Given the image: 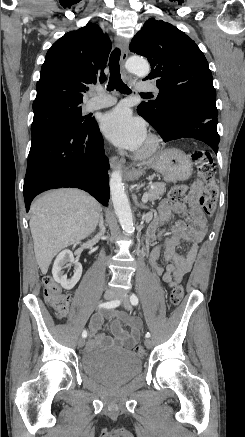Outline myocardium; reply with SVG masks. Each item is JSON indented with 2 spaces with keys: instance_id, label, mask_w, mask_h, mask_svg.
<instances>
[{
  "instance_id": "1",
  "label": "myocardium",
  "mask_w": 245,
  "mask_h": 437,
  "mask_svg": "<svg viewBox=\"0 0 245 437\" xmlns=\"http://www.w3.org/2000/svg\"><path fill=\"white\" fill-rule=\"evenodd\" d=\"M160 146V137L156 134L150 133L147 136L143 147H141L136 153V156L140 159L150 158L157 153V151L160 149Z\"/></svg>"
}]
</instances>
